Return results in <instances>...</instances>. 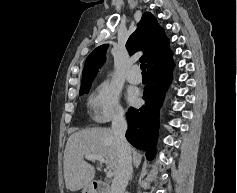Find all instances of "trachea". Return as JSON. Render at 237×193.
I'll return each mask as SVG.
<instances>
[{
	"label": "trachea",
	"instance_id": "trachea-1",
	"mask_svg": "<svg viewBox=\"0 0 237 193\" xmlns=\"http://www.w3.org/2000/svg\"><path fill=\"white\" fill-rule=\"evenodd\" d=\"M140 68L142 70V74H147L146 65L144 63H141Z\"/></svg>",
	"mask_w": 237,
	"mask_h": 193
}]
</instances>
